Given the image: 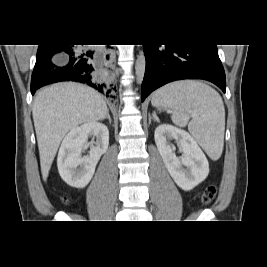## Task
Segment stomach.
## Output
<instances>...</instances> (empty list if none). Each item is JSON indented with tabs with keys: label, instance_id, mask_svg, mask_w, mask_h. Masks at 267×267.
Instances as JSON below:
<instances>
[{
	"label": "stomach",
	"instance_id": "0dacf381",
	"mask_svg": "<svg viewBox=\"0 0 267 267\" xmlns=\"http://www.w3.org/2000/svg\"><path fill=\"white\" fill-rule=\"evenodd\" d=\"M160 110H165L166 107L165 106H158Z\"/></svg>",
	"mask_w": 267,
	"mask_h": 267
}]
</instances>
